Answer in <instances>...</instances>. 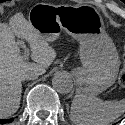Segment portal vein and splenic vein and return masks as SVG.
<instances>
[{"instance_id": "portal-vein-and-splenic-vein-1", "label": "portal vein and splenic vein", "mask_w": 125, "mask_h": 125, "mask_svg": "<svg viewBox=\"0 0 125 125\" xmlns=\"http://www.w3.org/2000/svg\"><path fill=\"white\" fill-rule=\"evenodd\" d=\"M20 44L24 48V55L22 57L24 60H27L30 54L29 49H27L22 42Z\"/></svg>"}]
</instances>
